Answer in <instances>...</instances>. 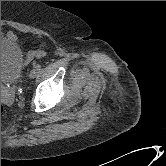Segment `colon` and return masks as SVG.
I'll use <instances>...</instances> for the list:
<instances>
[{
    "label": "colon",
    "instance_id": "5ec220e1",
    "mask_svg": "<svg viewBox=\"0 0 166 166\" xmlns=\"http://www.w3.org/2000/svg\"><path fill=\"white\" fill-rule=\"evenodd\" d=\"M44 54V51L43 50H34V51H31L29 52L28 56L33 58V57H36V56H42ZM4 106L1 104V115L4 113Z\"/></svg>",
    "mask_w": 166,
    "mask_h": 166
}]
</instances>
